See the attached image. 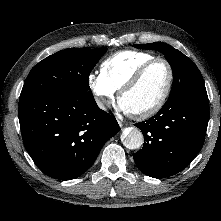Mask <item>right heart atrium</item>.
<instances>
[{
	"mask_svg": "<svg viewBox=\"0 0 221 221\" xmlns=\"http://www.w3.org/2000/svg\"><path fill=\"white\" fill-rule=\"evenodd\" d=\"M87 84L95 96L97 105L106 109L115 98L116 90L106 81L101 72H91Z\"/></svg>",
	"mask_w": 221,
	"mask_h": 221,
	"instance_id": "d8ad5b80",
	"label": "right heart atrium"
}]
</instances>
